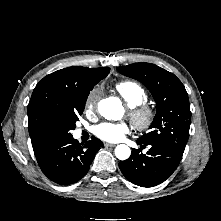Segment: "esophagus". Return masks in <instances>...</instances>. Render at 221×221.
Here are the masks:
<instances>
[{
    "label": "esophagus",
    "instance_id": "esophagus-1",
    "mask_svg": "<svg viewBox=\"0 0 221 221\" xmlns=\"http://www.w3.org/2000/svg\"><path fill=\"white\" fill-rule=\"evenodd\" d=\"M104 147H106V148L115 147V144L105 142Z\"/></svg>",
    "mask_w": 221,
    "mask_h": 221
}]
</instances>
